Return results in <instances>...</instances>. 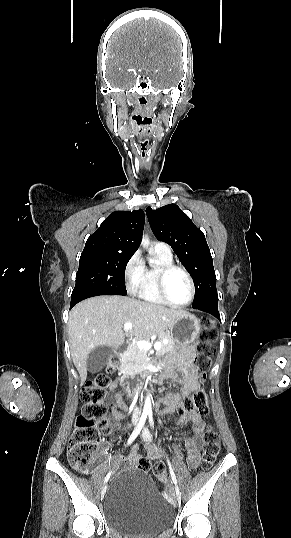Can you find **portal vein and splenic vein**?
<instances>
[{
	"label": "portal vein and splenic vein",
	"instance_id": "obj_1",
	"mask_svg": "<svg viewBox=\"0 0 291 538\" xmlns=\"http://www.w3.org/2000/svg\"><path fill=\"white\" fill-rule=\"evenodd\" d=\"M132 327H133V324H132L131 322H126V323L124 324V329H125V330H129V329H131ZM137 346H138L140 349H142V350H146V351L150 350L152 347H154V349H157V350H158V349L161 348L162 343L159 342V341H157V342H155L154 344H152V343H150V342H148V341H141V340H140V341L137 342Z\"/></svg>",
	"mask_w": 291,
	"mask_h": 538
}]
</instances>
